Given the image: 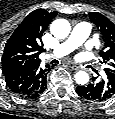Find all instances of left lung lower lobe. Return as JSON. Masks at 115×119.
Masks as SVG:
<instances>
[{
	"mask_svg": "<svg viewBox=\"0 0 115 119\" xmlns=\"http://www.w3.org/2000/svg\"><path fill=\"white\" fill-rule=\"evenodd\" d=\"M107 77L100 81L92 79V83L86 86H78L76 92L81 97L92 101H106L115 95V77L106 74Z\"/></svg>",
	"mask_w": 115,
	"mask_h": 119,
	"instance_id": "left-lung-lower-lobe-1",
	"label": "left lung lower lobe"
}]
</instances>
